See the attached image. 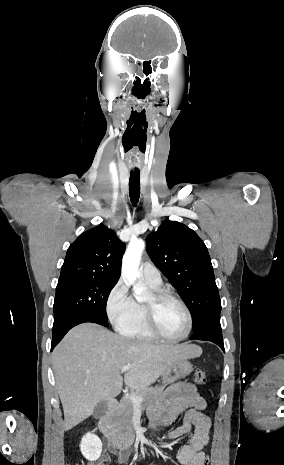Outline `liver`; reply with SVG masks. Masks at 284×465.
<instances>
[{
    "mask_svg": "<svg viewBox=\"0 0 284 465\" xmlns=\"http://www.w3.org/2000/svg\"><path fill=\"white\" fill-rule=\"evenodd\" d=\"M202 355L198 345H151L125 339L95 323L71 329L53 351V369L64 411V431L93 415L100 401L145 389L180 359ZM122 367H131L122 377Z\"/></svg>",
    "mask_w": 284,
    "mask_h": 465,
    "instance_id": "liver-1",
    "label": "liver"
}]
</instances>
